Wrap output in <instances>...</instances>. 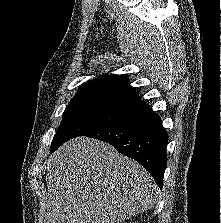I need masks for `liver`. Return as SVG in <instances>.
<instances>
[{"label":"liver","instance_id":"obj_1","mask_svg":"<svg viewBox=\"0 0 221 223\" xmlns=\"http://www.w3.org/2000/svg\"><path fill=\"white\" fill-rule=\"evenodd\" d=\"M44 223H122L154 207L160 190L136 161L80 136L45 163Z\"/></svg>","mask_w":221,"mask_h":223}]
</instances>
